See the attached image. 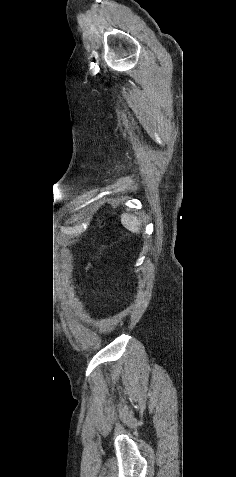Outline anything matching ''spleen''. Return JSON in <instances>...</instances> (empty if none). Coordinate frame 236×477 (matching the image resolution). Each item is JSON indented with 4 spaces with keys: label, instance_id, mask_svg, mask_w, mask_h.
<instances>
[{
    "label": "spleen",
    "instance_id": "3e777b00",
    "mask_svg": "<svg viewBox=\"0 0 236 477\" xmlns=\"http://www.w3.org/2000/svg\"><path fill=\"white\" fill-rule=\"evenodd\" d=\"M122 225L132 233H139L141 230V221L134 215L123 213L121 215Z\"/></svg>",
    "mask_w": 236,
    "mask_h": 477
}]
</instances>
